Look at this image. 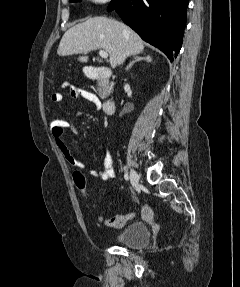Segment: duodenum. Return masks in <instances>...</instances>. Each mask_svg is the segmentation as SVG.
Here are the masks:
<instances>
[{"instance_id":"410a0bca","label":"duodenum","mask_w":240,"mask_h":287,"mask_svg":"<svg viewBox=\"0 0 240 287\" xmlns=\"http://www.w3.org/2000/svg\"><path fill=\"white\" fill-rule=\"evenodd\" d=\"M87 77L91 80H106L111 76L109 69L104 67H95L89 65L86 67ZM104 112L106 114H112L115 109V102L113 100L107 99L103 103Z\"/></svg>"}]
</instances>
